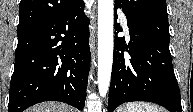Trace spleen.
Instances as JSON below:
<instances>
[{
  "instance_id": "3e777b00",
  "label": "spleen",
  "mask_w": 193,
  "mask_h": 112,
  "mask_svg": "<svg viewBox=\"0 0 193 112\" xmlns=\"http://www.w3.org/2000/svg\"><path fill=\"white\" fill-rule=\"evenodd\" d=\"M124 112H163V109L149 103L133 102L127 105Z\"/></svg>"
}]
</instances>
